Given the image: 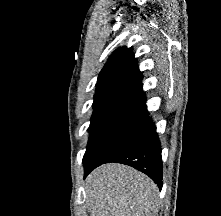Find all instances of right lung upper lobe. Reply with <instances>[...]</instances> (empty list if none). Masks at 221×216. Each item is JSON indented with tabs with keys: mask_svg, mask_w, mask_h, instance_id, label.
Masks as SVG:
<instances>
[{
	"mask_svg": "<svg viewBox=\"0 0 221 216\" xmlns=\"http://www.w3.org/2000/svg\"><path fill=\"white\" fill-rule=\"evenodd\" d=\"M141 80L132 50L114 51L97 80L91 122L117 115H148Z\"/></svg>",
	"mask_w": 221,
	"mask_h": 216,
	"instance_id": "obj_1",
	"label": "right lung upper lobe"
}]
</instances>
